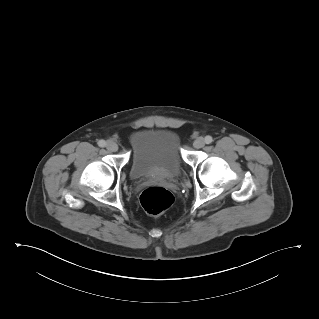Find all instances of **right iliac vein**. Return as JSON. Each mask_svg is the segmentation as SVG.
<instances>
[{
    "label": "right iliac vein",
    "instance_id": "1",
    "mask_svg": "<svg viewBox=\"0 0 319 319\" xmlns=\"http://www.w3.org/2000/svg\"><path fill=\"white\" fill-rule=\"evenodd\" d=\"M106 147L111 152H116L118 150L117 143H115L113 141H108L107 144H106Z\"/></svg>",
    "mask_w": 319,
    "mask_h": 319
}]
</instances>
